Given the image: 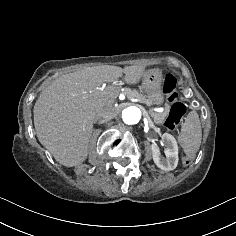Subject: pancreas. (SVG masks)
Wrapping results in <instances>:
<instances>
[{"label":"pancreas","instance_id":"1","mask_svg":"<svg viewBox=\"0 0 236 236\" xmlns=\"http://www.w3.org/2000/svg\"><path fill=\"white\" fill-rule=\"evenodd\" d=\"M122 93L126 95L128 99H133V98H136L139 100L145 99V97L142 94H140L137 90H132L130 88H125ZM149 115L153 118H160L161 120H165V117L167 116V112L157 113V112H154L153 110H150Z\"/></svg>","mask_w":236,"mask_h":236}]
</instances>
